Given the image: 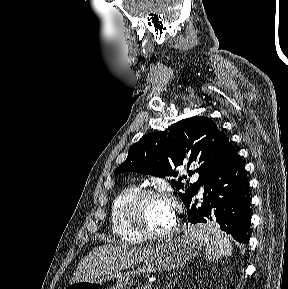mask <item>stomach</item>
<instances>
[{"mask_svg":"<svg viewBox=\"0 0 288 289\" xmlns=\"http://www.w3.org/2000/svg\"><path fill=\"white\" fill-rule=\"evenodd\" d=\"M202 248L201 242L188 229L182 235L157 246L142 267L127 272H114L94 280L69 284L66 289H125L141 272L170 271L196 256Z\"/></svg>","mask_w":288,"mask_h":289,"instance_id":"obj_1","label":"stomach"}]
</instances>
